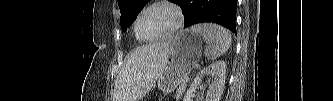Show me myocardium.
<instances>
[{"instance_id": "f54148a6", "label": "myocardium", "mask_w": 333, "mask_h": 101, "mask_svg": "<svg viewBox=\"0 0 333 101\" xmlns=\"http://www.w3.org/2000/svg\"><path fill=\"white\" fill-rule=\"evenodd\" d=\"M155 7H166V8H169L170 10H172L176 16V23L172 27V29L169 30L168 32H166L160 36L154 37V38H146V37L142 36L140 33L139 21L145 12H147L148 10L155 8ZM183 22H184V14L182 12V9L177 4L170 2V1H156V2H153L150 5H148L147 7H145L138 13V15L135 19V22H134V30H135L136 36L140 40L152 42V41H158V40L167 38V37L175 34L182 27Z\"/></svg>"}]
</instances>
